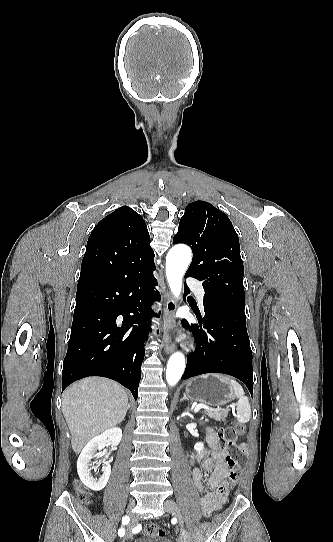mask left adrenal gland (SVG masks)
<instances>
[{"label": "left adrenal gland", "mask_w": 333, "mask_h": 542, "mask_svg": "<svg viewBox=\"0 0 333 542\" xmlns=\"http://www.w3.org/2000/svg\"><path fill=\"white\" fill-rule=\"evenodd\" d=\"M183 400H188L186 394H183V398H181L180 402H183Z\"/></svg>", "instance_id": "a2214340"}]
</instances>
